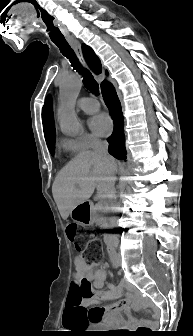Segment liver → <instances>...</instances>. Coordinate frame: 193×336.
Instances as JSON below:
<instances>
[{
  "label": "liver",
  "instance_id": "liver-1",
  "mask_svg": "<svg viewBox=\"0 0 193 336\" xmlns=\"http://www.w3.org/2000/svg\"><path fill=\"white\" fill-rule=\"evenodd\" d=\"M116 170L112 157L105 160L90 150L79 153L58 173L52 186L61 217L66 220L75 206L91 197L95 188L100 196H107L110 192L108 178Z\"/></svg>",
  "mask_w": 193,
  "mask_h": 336
}]
</instances>
